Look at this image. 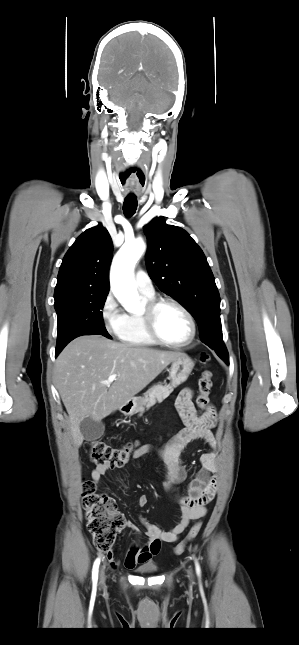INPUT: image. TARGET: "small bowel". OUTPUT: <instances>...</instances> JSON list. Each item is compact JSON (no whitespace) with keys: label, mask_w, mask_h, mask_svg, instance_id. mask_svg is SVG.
<instances>
[{"label":"small bowel","mask_w":299,"mask_h":645,"mask_svg":"<svg viewBox=\"0 0 299 645\" xmlns=\"http://www.w3.org/2000/svg\"><path fill=\"white\" fill-rule=\"evenodd\" d=\"M175 406L184 423V428L175 439L158 450L148 445L141 446L133 451L132 457L138 459L150 452H156L165 466L164 488L170 500L179 505L181 516L176 525L171 530L166 531L140 515L139 521L145 528L147 542L144 545L135 543L129 548L123 561L126 568H134L137 564L151 560L152 557L160 552L163 542L172 543L177 541L191 522L200 519L206 514V506L214 498L217 491V477L213 475L218 469L216 456L218 441L212 431L217 421L215 409L208 402L203 414L198 416L193 403V391L188 388L180 392L175 401ZM195 440L204 441L209 450L200 455V467L194 479L188 484L186 491L181 492L178 485L186 479L188 474L187 466L181 458V452L190 442ZM110 469L109 465L98 464L91 473L93 483L97 485L102 476ZM148 502L147 495L142 494L139 496L138 504L140 507H145ZM126 525L136 530L133 522L128 521ZM107 559L110 563L116 564L113 552L107 553Z\"/></svg>","instance_id":"small-bowel-1"}]
</instances>
